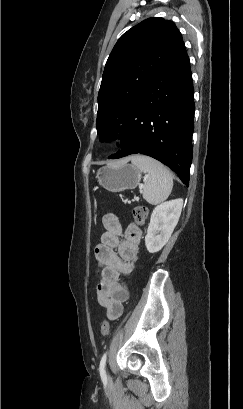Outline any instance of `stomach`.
Returning <instances> with one entry per match:
<instances>
[{"label":"stomach","mask_w":243,"mask_h":409,"mask_svg":"<svg viewBox=\"0 0 243 409\" xmlns=\"http://www.w3.org/2000/svg\"><path fill=\"white\" fill-rule=\"evenodd\" d=\"M98 183L108 191L121 192L134 189L141 180V171L126 160L103 166L97 170Z\"/></svg>","instance_id":"stomach-1"}]
</instances>
